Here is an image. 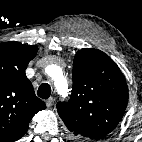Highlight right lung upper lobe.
Segmentation results:
<instances>
[{"label": "right lung upper lobe", "mask_w": 142, "mask_h": 142, "mask_svg": "<svg viewBox=\"0 0 142 142\" xmlns=\"http://www.w3.org/2000/svg\"><path fill=\"white\" fill-rule=\"evenodd\" d=\"M37 51L35 45L0 43V142L20 139L32 117L46 107L25 74Z\"/></svg>", "instance_id": "right-lung-upper-lobe-1"}]
</instances>
